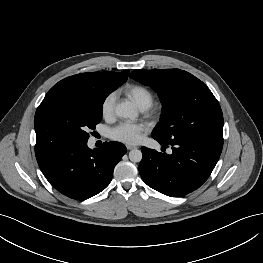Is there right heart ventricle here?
Here are the masks:
<instances>
[{"label":"right heart ventricle","instance_id":"e07e8e85","mask_svg":"<svg viewBox=\"0 0 263 263\" xmlns=\"http://www.w3.org/2000/svg\"><path fill=\"white\" fill-rule=\"evenodd\" d=\"M121 92L141 110L149 108L154 101L153 92L141 84H126L121 88Z\"/></svg>","mask_w":263,"mask_h":263}]
</instances>
